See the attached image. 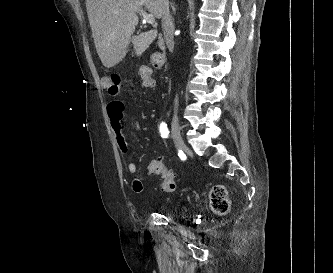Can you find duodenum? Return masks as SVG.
<instances>
[{
  "instance_id": "1",
  "label": "duodenum",
  "mask_w": 333,
  "mask_h": 273,
  "mask_svg": "<svg viewBox=\"0 0 333 273\" xmlns=\"http://www.w3.org/2000/svg\"><path fill=\"white\" fill-rule=\"evenodd\" d=\"M159 39H160L161 45L166 46L167 43H166L165 39L163 37H159Z\"/></svg>"
}]
</instances>
